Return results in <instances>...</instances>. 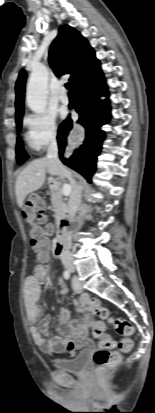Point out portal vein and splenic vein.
<instances>
[{
	"instance_id": "1",
	"label": "portal vein and splenic vein",
	"mask_w": 155,
	"mask_h": 413,
	"mask_svg": "<svg viewBox=\"0 0 155 413\" xmlns=\"http://www.w3.org/2000/svg\"><path fill=\"white\" fill-rule=\"evenodd\" d=\"M71 190L72 188L69 184H64L61 189L62 196H69L71 194Z\"/></svg>"
}]
</instances>
